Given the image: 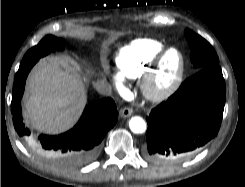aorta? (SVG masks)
Returning <instances> with one entry per match:
<instances>
[{"mask_svg":"<svg viewBox=\"0 0 245 187\" xmlns=\"http://www.w3.org/2000/svg\"><path fill=\"white\" fill-rule=\"evenodd\" d=\"M129 127L133 133L139 134L146 131L145 121L138 116L132 117L129 121Z\"/></svg>","mask_w":245,"mask_h":187,"instance_id":"aorta-1","label":"aorta"}]
</instances>
